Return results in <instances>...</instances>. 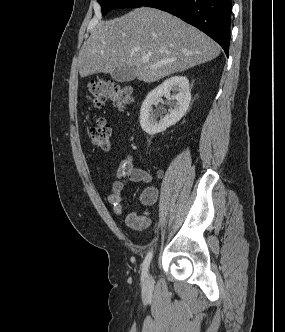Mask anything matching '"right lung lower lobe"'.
<instances>
[{
	"label": "right lung lower lobe",
	"instance_id": "98d812e1",
	"mask_svg": "<svg viewBox=\"0 0 285 332\" xmlns=\"http://www.w3.org/2000/svg\"><path fill=\"white\" fill-rule=\"evenodd\" d=\"M143 6L169 12L197 27L229 52L231 0H148Z\"/></svg>",
	"mask_w": 285,
	"mask_h": 332
}]
</instances>
